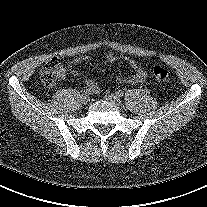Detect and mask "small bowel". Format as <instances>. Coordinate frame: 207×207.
Returning <instances> with one entry per match:
<instances>
[{
    "mask_svg": "<svg viewBox=\"0 0 207 207\" xmlns=\"http://www.w3.org/2000/svg\"><path fill=\"white\" fill-rule=\"evenodd\" d=\"M92 58L90 56H82L79 58H75L71 61V64H77L83 61H90ZM106 62L108 63H114L116 61H118L120 58L118 56H116L113 53H108L105 57ZM123 60L127 63V65L133 70V75L131 77H117L116 82L120 83V84H124V83H142L145 81L146 79V71L143 68V66L137 62L134 59L131 58H123ZM71 74L73 76H78L80 73L78 70L73 69L71 71ZM65 77V71L63 70V72L60 75V79H63ZM86 86L87 88H89L91 90V92L93 93H98L100 91V88L98 86V84L93 81V80H87L86 81Z\"/></svg>",
    "mask_w": 207,
    "mask_h": 207,
    "instance_id": "c3829d8e",
    "label": "small bowel"
}]
</instances>
